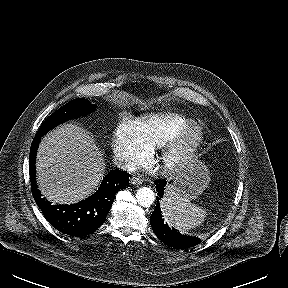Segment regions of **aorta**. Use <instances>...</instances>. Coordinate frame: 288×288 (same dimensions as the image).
I'll return each instance as SVG.
<instances>
[{"instance_id":"obj_1","label":"aorta","mask_w":288,"mask_h":288,"mask_svg":"<svg viewBox=\"0 0 288 288\" xmlns=\"http://www.w3.org/2000/svg\"><path fill=\"white\" fill-rule=\"evenodd\" d=\"M136 200L142 207H149L155 201V193L149 187H141L136 192Z\"/></svg>"}]
</instances>
